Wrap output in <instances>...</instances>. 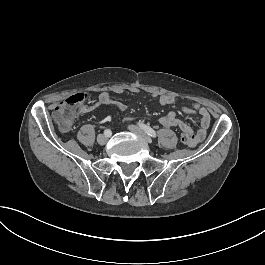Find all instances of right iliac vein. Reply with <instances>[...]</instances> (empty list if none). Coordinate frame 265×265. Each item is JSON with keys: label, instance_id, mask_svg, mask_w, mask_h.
<instances>
[{"label": "right iliac vein", "instance_id": "63e3f726", "mask_svg": "<svg viewBox=\"0 0 265 265\" xmlns=\"http://www.w3.org/2000/svg\"><path fill=\"white\" fill-rule=\"evenodd\" d=\"M97 141L100 145H104L107 143L108 141V137L105 134H100L97 137Z\"/></svg>", "mask_w": 265, "mask_h": 265}]
</instances>
